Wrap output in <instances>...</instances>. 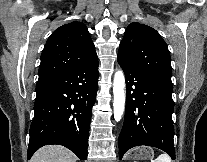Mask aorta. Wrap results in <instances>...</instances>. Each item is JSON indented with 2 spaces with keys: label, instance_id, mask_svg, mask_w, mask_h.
Listing matches in <instances>:
<instances>
[{
  "label": "aorta",
  "instance_id": "762f6f07",
  "mask_svg": "<svg viewBox=\"0 0 207 162\" xmlns=\"http://www.w3.org/2000/svg\"><path fill=\"white\" fill-rule=\"evenodd\" d=\"M125 77L121 70L116 71L113 81L114 118L120 121L125 109Z\"/></svg>",
  "mask_w": 207,
  "mask_h": 162
}]
</instances>
